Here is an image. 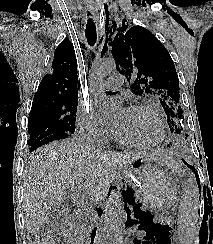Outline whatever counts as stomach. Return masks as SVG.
I'll use <instances>...</instances> for the list:
<instances>
[{"instance_id":"0dacf381","label":"stomach","mask_w":213,"mask_h":244,"mask_svg":"<svg viewBox=\"0 0 213 244\" xmlns=\"http://www.w3.org/2000/svg\"><path fill=\"white\" fill-rule=\"evenodd\" d=\"M124 178L150 210L167 212L178 201L179 186L160 163L140 157L124 172Z\"/></svg>"}]
</instances>
